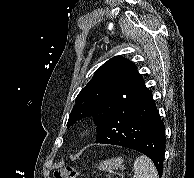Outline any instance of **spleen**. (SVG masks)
I'll return each instance as SVG.
<instances>
[{
    "instance_id": "obj_1",
    "label": "spleen",
    "mask_w": 194,
    "mask_h": 178,
    "mask_svg": "<svg viewBox=\"0 0 194 178\" xmlns=\"http://www.w3.org/2000/svg\"><path fill=\"white\" fill-rule=\"evenodd\" d=\"M134 178H158L157 170L152 161L141 155L138 157L133 165Z\"/></svg>"
}]
</instances>
